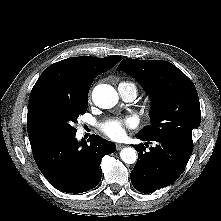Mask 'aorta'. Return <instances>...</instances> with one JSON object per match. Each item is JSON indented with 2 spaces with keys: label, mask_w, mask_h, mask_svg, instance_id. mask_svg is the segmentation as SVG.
Here are the masks:
<instances>
[{
  "label": "aorta",
  "mask_w": 221,
  "mask_h": 221,
  "mask_svg": "<svg viewBox=\"0 0 221 221\" xmlns=\"http://www.w3.org/2000/svg\"><path fill=\"white\" fill-rule=\"evenodd\" d=\"M92 100L96 106L109 109L118 103L119 97L112 86L100 84L93 89ZM120 158L126 164H133L137 160V152L132 147L123 148L120 152Z\"/></svg>",
  "instance_id": "1"
}]
</instances>
